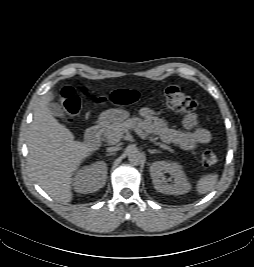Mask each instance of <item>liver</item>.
<instances>
[{"label":"liver","mask_w":254,"mask_h":267,"mask_svg":"<svg viewBox=\"0 0 254 267\" xmlns=\"http://www.w3.org/2000/svg\"><path fill=\"white\" fill-rule=\"evenodd\" d=\"M53 94L44 95L34 109L28 133V163L38 185L54 200H72V176L93 148L76 141L72 132L60 124L47 105Z\"/></svg>","instance_id":"liver-1"}]
</instances>
